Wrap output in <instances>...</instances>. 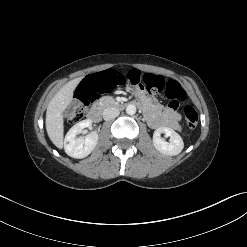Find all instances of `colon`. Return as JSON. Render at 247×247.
Listing matches in <instances>:
<instances>
[{
    "label": "colon",
    "mask_w": 247,
    "mask_h": 247,
    "mask_svg": "<svg viewBox=\"0 0 247 247\" xmlns=\"http://www.w3.org/2000/svg\"><path fill=\"white\" fill-rule=\"evenodd\" d=\"M131 83L149 92L164 91L169 100V106L172 107L178 106L186 98L184 89L174 80L165 81L163 77L154 74L142 75L137 70L111 68L85 77L77 89V102L70 108V121L78 122L84 118L89 105L100 94L125 90L130 87ZM184 117L189 128L194 129L197 126L199 118L192 106L184 107Z\"/></svg>",
    "instance_id": "colon-1"
}]
</instances>
